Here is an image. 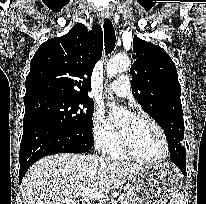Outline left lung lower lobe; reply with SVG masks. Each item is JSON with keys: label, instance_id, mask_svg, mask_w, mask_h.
<instances>
[{"label": "left lung lower lobe", "instance_id": "left-lung-lower-lobe-1", "mask_svg": "<svg viewBox=\"0 0 206 204\" xmlns=\"http://www.w3.org/2000/svg\"><path fill=\"white\" fill-rule=\"evenodd\" d=\"M169 151L171 161L180 168L184 176H187L185 148L180 143L171 142L169 144Z\"/></svg>", "mask_w": 206, "mask_h": 204}]
</instances>
